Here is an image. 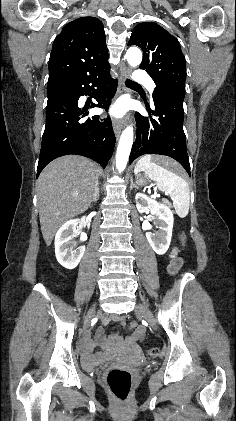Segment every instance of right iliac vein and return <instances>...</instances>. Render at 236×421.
Listing matches in <instances>:
<instances>
[{"label":"right iliac vein","mask_w":236,"mask_h":421,"mask_svg":"<svg viewBox=\"0 0 236 421\" xmlns=\"http://www.w3.org/2000/svg\"><path fill=\"white\" fill-rule=\"evenodd\" d=\"M94 313H95V306H92V308L89 310V312L87 314V320H86V324L84 326L85 331L89 328L91 320L94 317Z\"/></svg>","instance_id":"63e3f726"}]
</instances>
